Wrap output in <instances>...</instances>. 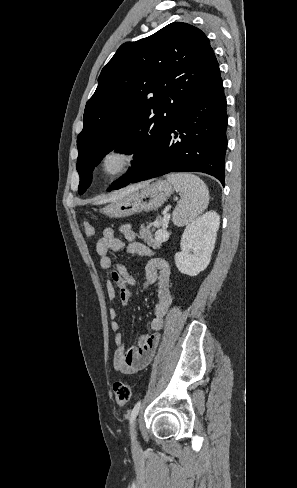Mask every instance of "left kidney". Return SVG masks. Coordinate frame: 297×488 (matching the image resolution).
I'll use <instances>...</instances> for the list:
<instances>
[{
    "label": "left kidney",
    "mask_w": 297,
    "mask_h": 488,
    "mask_svg": "<svg viewBox=\"0 0 297 488\" xmlns=\"http://www.w3.org/2000/svg\"><path fill=\"white\" fill-rule=\"evenodd\" d=\"M219 224V215L209 211L186 226L180 243L181 252L174 257L175 265L182 274L196 276L208 266Z\"/></svg>",
    "instance_id": "5707ae66"
}]
</instances>
